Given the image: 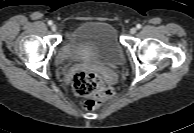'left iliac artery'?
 I'll return each instance as SVG.
<instances>
[{"label": "left iliac artery", "instance_id": "left-iliac-artery-1", "mask_svg": "<svg viewBox=\"0 0 194 133\" xmlns=\"http://www.w3.org/2000/svg\"><path fill=\"white\" fill-rule=\"evenodd\" d=\"M137 29H140L142 26L140 24H137Z\"/></svg>", "mask_w": 194, "mask_h": 133}]
</instances>
